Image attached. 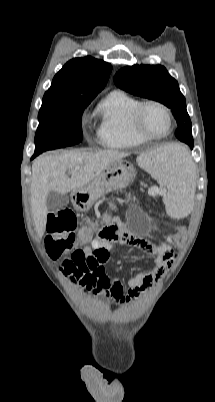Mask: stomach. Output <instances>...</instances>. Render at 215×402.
I'll return each instance as SVG.
<instances>
[{
  "label": "stomach",
  "mask_w": 215,
  "mask_h": 402,
  "mask_svg": "<svg viewBox=\"0 0 215 402\" xmlns=\"http://www.w3.org/2000/svg\"><path fill=\"white\" fill-rule=\"evenodd\" d=\"M134 166L125 160L112 163L88 185L72 192L76 210L85 212L102 196L130 184L135 175Z\"/></svg>",
  "instance_id": "0dacf381"
}]
</instances>
